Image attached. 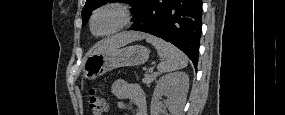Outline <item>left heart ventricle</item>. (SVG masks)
Here are the masks:
<instances>
[{
    "label": "left heart ventricle",
    "mask_w": 285,
    "mask_h": 115,
    "mask_svg": "<svg viewBox=\"0 0 285 115\" xmlns=\"http://www.w3.org/2000/svg\"><path fill=\"white\" fill-rule=\"evenodd\" d=\"M118 22L117 15L111 10H104L98 14L94 21V30L102 33L111 30Z\"/></svg>",
    "instance_id": "b2bd125f"
}]
</instances>
